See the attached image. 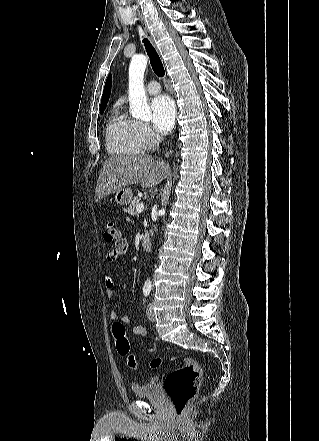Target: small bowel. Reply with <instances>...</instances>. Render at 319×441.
Instances as JSON below:
<instances>
[{"label": "small bowel", "instance_id": "small-bowel-1", "mask_svg": "<svg viewBox=\"0 0 319 441\" xmlns=\"http://www.w3.org/2000/svg\"><path fill=\"white\" fill-rule=\"evenodd\" d=\"M128 250V242L126 239H120L116 247L114 249H111L107 253V260L109 262H116L118 258L125 254ZM114 286L115 282L111 276L105 277V287H106V295L108 298H112L114 296ZM110 318L113 321H122L123 323H129L130 317L127 315L119 317L118 312L115 310H112L110 312ZM132 333L137 336H144L146 333L145 327L141 324H136L132 327Z\"/></svg>", "mask_w": 319, "mask_h": 441}]
</instances>
